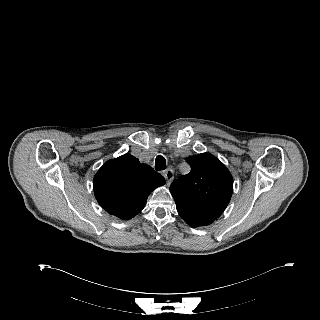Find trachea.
Returning a JSON list of instances; mask_svg holds the SVG:
<instances>
[{
  "instance_id": "obj_1",
  "label": "trachea",
  "mask_w": 320,
  "mask_h": 320,
  "mask_svg": "<svg viewBox=\"0 0 320 320\" xmlns=\"http://www.w3.org/2000/svg\"><path fill=\"white\" fill-rule=\"evenodd\" d=\"M155 169L157 171H161V170H165L166 169V160L163 156L161 155H158L156 157V160H155Z\"/></svg>"
}]
</instances>
